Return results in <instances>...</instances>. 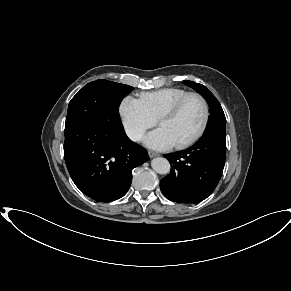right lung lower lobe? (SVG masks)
<instances>
[{
	"label": "right lung lower lobe",
	"instance_id": "98d812e1",
	"mask_svg": "<svg viewBox=\"0 0 291 291\" xmlns=\"http://www.w3.org/2000/svg\"><path fill=\"white\" fill-rule=\"evenodd\" d=\"M64 157L69 174L84 194L97 202L123 197L132 181V169L146 162L147 151L125 134L120 118L94 125L65 124Z\"/></svg>",
	"mask_w": 291,
	"mask_h": 291
}]
</instances>
